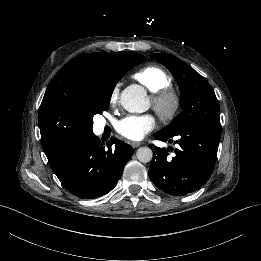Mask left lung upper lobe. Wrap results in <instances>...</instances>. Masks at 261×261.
Wrapping results in <instances>:
<instances>
[{
    "instance_id": "5c2ea615",
    "label": "left lung upper lobe",
    "mask_w": 261,
    "mask_h": 261,
    "mask_svg": "<svg viewBox=\"0 0 261 261\" xmlns=\"http://www.w3.org/2000/svg\"><path fill=\"white\" fill-rule=\"evenodd\" d=\"M150 57L169 69L181 91V113L159 133L173 137L199 124L220 128L219 103L208 81L173 55L156 53Z\"/></svg>"
}]
</instances>
